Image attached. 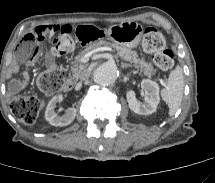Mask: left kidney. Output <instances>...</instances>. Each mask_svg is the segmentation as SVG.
Masks as SVG:
<instances>
[{
    "instance_id": "1",
    "label": "left kidney",
    "mask_w": 215,
    "mask_h": 183,
    "mask_svg": "<svg viewBox=\"0 0 215 183\" xmlns=\"http://www.w3.org/2000/svg\"><path fill=\"white\" fill-rule=\"evenodd\" d=\"M141 88L145 93V103L141 104L138 102L133 90H129L126 93V98L128 101L129 108L139 115H149L156 111L159 104V86L156 82L143 79L141 82Z\"/></svg>"
}]
</instances>
